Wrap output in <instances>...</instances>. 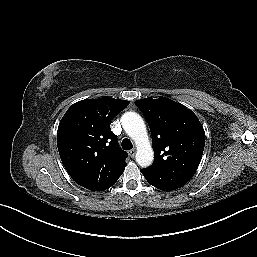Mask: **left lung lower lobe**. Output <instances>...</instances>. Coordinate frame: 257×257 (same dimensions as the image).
<instances>
[{
    "label": "left lung lower lobe",
    "instance_id": "left-lung-lower-lobe-1",
    "mask_svg": "<svg viewBox=\"0 0 257 257\" xmlns=\"http://www.w3.org/2000/svg\"><path fill=\"white\" fill-rule=\"evenodd\" d=\"M149 184L164 191H171L182 187L191 178L183 175L174 174L169 170L150 171L140 169Z\"/></svg>",
    "mask_w": 257,
    "mask_h": 257
}]
</instances>
